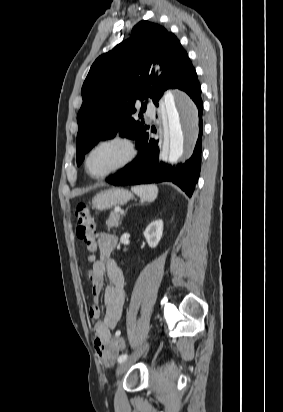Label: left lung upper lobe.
<instances>
[{
    "mask_svg": "<svg viewBox=\"0 0 283 412\" xmlns=\"http://www.w3.org/2000/svg\"><path fill=\"white\" fill-rule=\"evenodd\" d=\"M162 72L149 74L152 64ZM194 69L174 34L158 24L141 21L130 36L113 50L101 55L91 66L82 86L83 104L77 116V165L100 140L114 137L133 139L148 125L133 117L136 101L155 105L168 88Z\"/></svg>",
    "mask_w": 283,
    "mask_h": 412,
    "instance_id": "1",
    "label": "left lung upper lobe"
}]
</instances>
